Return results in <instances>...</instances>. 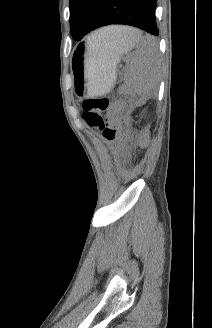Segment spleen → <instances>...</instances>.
Returning a JSON list of instances; mask_svg holds the SVG:
<instances>
[{"label": "spleen", "instance_id": "3e777b00", "mask_svg": "<svg viewBox=\"0 0 212 328\" xmlns=\"http://www.w3.org/2000/svg\"><path fill=\"white\" fill-rule=\"evenodd\" d=\"M105 29V28H104ZM104 29L94 32L88 37V46L101 50H110ZM136 50L128 56L129 70L125 74L127 86L134 92L150 95L157 88L160 81V55L154 37L150 35L136 36ZM113 52V50H111Z\"/></svg>", "mask_w": 212, "mask_h": 328}]
</instances>
